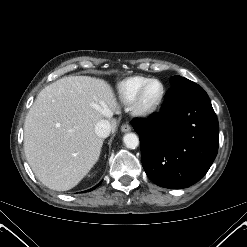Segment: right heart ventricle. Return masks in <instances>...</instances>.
<instances>
[{
	"instance_id": "right-heart-ventricle-1",
	"label": "right heart ventricle",
	"mask_w": 247,
	"mask_h": 247,
	"mask_svg": "<svg viewBox=\"0 0 247 247\" xmlns=\"http://www.w3.org/2000/svg\"><path fill=\"white\" fill-rule=\"evenodd\" d=\"M150 79L144 76H132L124 79L117 85L118 97L126 104L131 103L138 90Z\"/></svg>"
}]
</instances>
